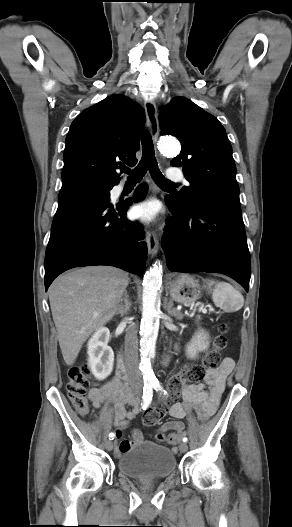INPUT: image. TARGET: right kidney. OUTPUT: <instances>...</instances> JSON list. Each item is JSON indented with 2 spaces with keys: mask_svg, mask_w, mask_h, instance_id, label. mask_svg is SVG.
Masks as SVG:
<instances>
[{
  "mask_svg": "<svg viewBox=\"0 0 292 527\" xmlns=\"http://www.w3.org/2000/svg\"><path fill=\"white\" fill-rule=\"evenodd\" d=\"M109 337V329L101 327L88 341V365L98 380H104L113 370L114 352L108 346Z\"/></svg>",
  "mask_w": 292,
  "mask_h": 527,
  "instance_id": "obj_1",
  "label": "right kidney"
}]
</instances>
